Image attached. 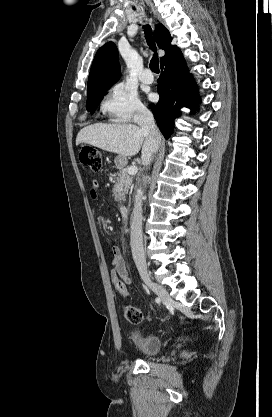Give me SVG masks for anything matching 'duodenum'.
Segmentation results:
<instances>
[{
	"instance_id": "duodenum-1",
	"label": "duodenum",
	"mask_w": 272,
	"mask_h": 417,
	"mask_svg": "<svg viewBox=\"0 0 272 417\" xmlns=\"http://www.w3.org/2000/svg\"><path fill=\"white\" fill-rule=\"evenodd\" d=\"M120 213H121V215L124 219H127L128 215H129L128 207L126 205H121L120 206Z\"/></svg>"
}]
</instances>
